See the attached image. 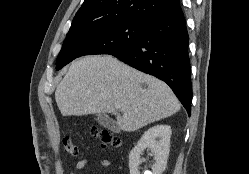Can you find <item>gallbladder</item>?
<instances>
[{"instance_id": "bac80fb5", "label": "gallbladder", "mask_w": 249, "mask_h": 174, "mask_svg": "<svg viewBox=\"0 0 249 174\" xmlns=\"http://www.w3.org/2000/svg\"><path fill=\"white\" fill-rule=\"evenodd\" d=\"M97 121L104 127H107L111 131L119 132L120 128L116 122L105 114H98Z\"/></svg>"}]
</instances>
